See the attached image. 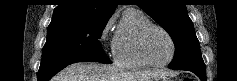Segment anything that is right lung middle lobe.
I'll use <instances>...</instances> for the list:
<instances>
[{
    "mask_svg": "<svg viewBox=\"0 0 237 81\" xmlns=\"http://www.w3.org/2000/svg\"><path fill=\"white\" fill-rule=\"evenodd\" d=\"M107 21L86 17L52 19L47 29L42 59L94 57L111 63L99 41Z\"/></svg>",
    "mask_w": 237,
    "mask_h": 81,
    "instance_id": "obj_1",
    "label": "right lung middle lobe"
}]
</instances>
